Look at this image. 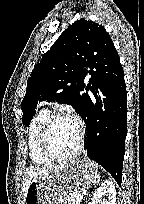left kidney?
Instances as JSON below:
<instances>
[{
	"mask_svg": "<svg viewBox=\"0 0 144 204\" xmlns=\"http://www.w3.org/2000/svg\"><path fill=\"white\" fill-rule=\"evenodd\" d=\"M103 196L108 197L106 204H115L116 189L112 181H104L100 187L95 191L93 197L88 204H100Z\"/></svg>",
	"mask_w": 144,
	"mask_h": 204,
	"instance_id": "obj_1",
	"label": "left kidney"
}]
</instances>
